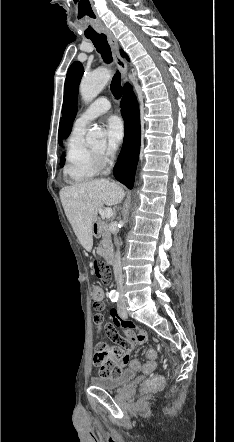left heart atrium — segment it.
Returning <instances> with one entry per match:
<instances>
[{
    "mask_svg": "<svg viewBox=\"0 0 234 442\" xmlns=\"http://www.w3.org/2000/svg\"><path fill=\"white\" fill-rule=\"evenodd\" d=\"M107 135V151L114 152L124 138V125L120 117L111 115L105 123Z\"/></svg>",
    "mask_w": 234,
    "mask_h": 442,
    "instance_id": "39dd6f15",
    "label": "left heart atrium"
}]
</instances>
